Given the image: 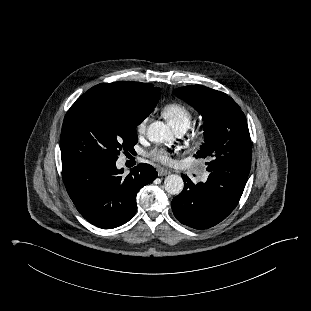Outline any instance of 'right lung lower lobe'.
Segmentation results:
<instances>
[{
  "label": "right lung lower lobe",
  "instance_id": "1",
  "mask_svg": "<svg viewBox=\"0 0 311 311\" xmlns=\"http://www.w3.org/2000/svg\"><path fill=\"white\" fill-rule=\"evenodd\" d=\"M115 162L62 163L67 192L79 213L91 224L112 229L128 222L136 213V195L154 181L158 173L141 163L124 177Z\"/></svg>",
  "mask_w": 311,
  "mask_h": 311
}]
</instances>
